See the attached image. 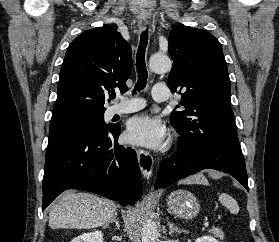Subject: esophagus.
Here are the masks:
<instances>
[{
	"instance_id": "obj_1",
	"label": "esophagus",
	"mask_w": 279,
	"mask_h": 242,
	"mask_svg": "<svg viewBox=\"0 0 279 242\" xmlns=\"http://www.w3.org/2000/svg\"><path fill=\"white\" fill-rule=\"evenodd\" d=\"M147 25H148V21H140L139 29L144 30L147 27ZM137 158L143 177L149 180L150 177L152 176V171H153V157L148 151L143 149H138Z\"/></svg>"
}]
</instances>
